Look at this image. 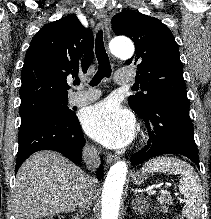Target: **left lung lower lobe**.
<instances>
[{"label": "left lung lower lobe", "instance_id": "0a47b994", "mask_svg": "<svg viewBox=\"0 0 211 219\" xmlns=\"http://www.w3.org/2000/svg\"><path fill=\"white\" fill-rule=\"evenodd\" d=\"M149 134L147 146L131 157L135 167L163 154H181L199 167L198 150L194 140L189 104L183 96H163L153 100L148 111L139 115Z\"/></svg>", "mask_w": 211, "mask_h": 219}]
</instances>
